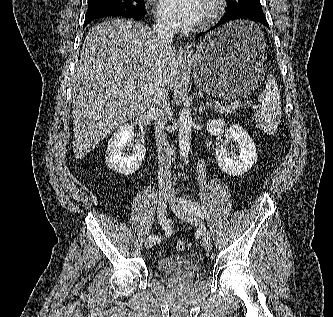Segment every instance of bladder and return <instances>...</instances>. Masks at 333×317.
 Masks as SVG:
<instances>
[{
  "label": "bladder",
  "mask_w": 333,
  "mask_h": 317,
  "mask_svg": "<svg viewBox=\"0 0 333 317\" xmlns=\"http://www.w3.org/2000/svg\"><path fill=\"white\" fill-rule=\"evenodd\" d=\"M157 270L162 275H184L195 272L197 264L189 257L182 255H168L157 262Z\"/></svg>",
  "instance_id": "1"
}]
</instances>
